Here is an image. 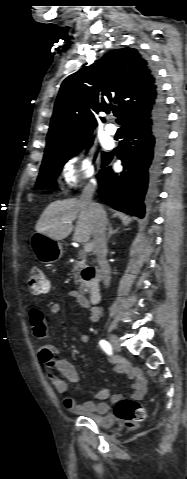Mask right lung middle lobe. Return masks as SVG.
Listing matches in <instances>:
<instances>
[{"label":"right lung middle lobe","mask_w":187,"mask_h":479,"mask_svg":"<svg viewBox=\"0 0 187 479\" xmlns=\"http://www.w3.org/2000/svg\"><path fill=\"white\" fill-rule=\"evenodd\" d=\"M91 144L92 137L91 134H88L74 144L46 150L36 188L43 189L53 183L66 161ZM106 156L107 153L102 154L103 160Z\"/></svg>","instance_id":"right-lung-middle-lobe-1"}]
</instances>
